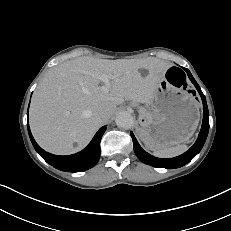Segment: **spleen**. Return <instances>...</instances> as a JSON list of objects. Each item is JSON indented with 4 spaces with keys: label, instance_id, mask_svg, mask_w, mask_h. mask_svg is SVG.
Segmentation results:
<instances>
[{
    "label": "spleen",
    "instance_id": "obj_1",
    "mask_svg": "<svg viewBox=\"0 0 231 231\" xmlns=\"http://www.w3.org/2000/svg\"><path fill=\"white\" fill-rule=\"evenodd\" d=\"M187 149H188L187 145L179 144L173 147H167V148L155 150L153 154L160 158H170L184 153Z\"/></svg>",
    "mask_w": 231,
    "mask_h": 231
}]
</instances>
